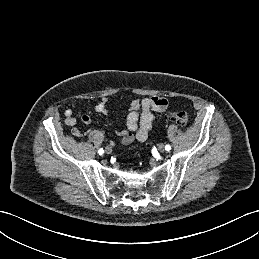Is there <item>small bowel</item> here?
<instances>
[{"instance_id": "1", "label": "small bowel", "mask_w": 259, "mask_h": 259, "mask_svg": "<svg viewBox=\"0 0 259 259\" xmlns=\"http://www.w3.org/2000/svg\"><path fill=\"white\" fill-rule=\"evenodd\" d=\"M107 98H102L95 106V111L102 115L108 114ZM168 106V101L162 96L146 97L141 100H133L129 105V110L126 118V128L121 131V143L130 144L134 141L143 142L148 138V134L152 128L154 121V112H164ZM65 123L68 126L76 124V118L73 115V110L67 108L64 111ZM81 121L85 124L91 122V118L84 114L81 116Z\"/></svg>"}]
</instances>
